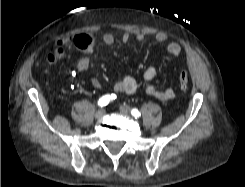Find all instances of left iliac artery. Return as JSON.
I'll use <instances>...</instances> for the list:
<instances>
[{
	"mask_svg": "<svg viewBox=\"0 0 245 187\" xmlns=\"http://www.w3.org/2000/svg\"><path fill=\"white\" fill-rule=\"evenodd\" d=\"M131 114H132L135 118H138V117H140V115H141L140 111H139L138 109H136V108L132 109Z\"/></svg>",
	"mask_w": 245,
	"mask_h": 187,
	"instance_id": "44dca946",
	"label": "left iliac artery"
}]
</instances>
